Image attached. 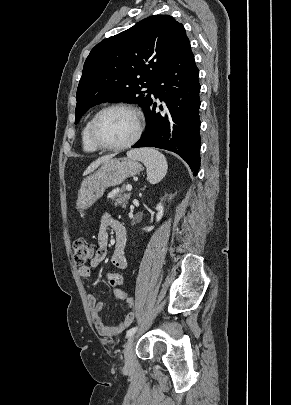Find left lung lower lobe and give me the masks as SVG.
<instances>
[{"label":"left lung lower lobe","instance_id":"1","mask_svg":"<svg viewBox=\"0 0 291 405\" xmlns=\"http://www.w3.org/2000/svg\"><path fill=\"white\" fill-rule=\"evenodd\" d=\"M198 76L189 40L185 38L151 89L154 97L165 103V112H157V103L150 97L144 111L147 131L133 145V148L156 147L177 153L188 163L194 176L201 160Z\"/></svg>","mask_w":291,"mask_h":405}]
</instances>
